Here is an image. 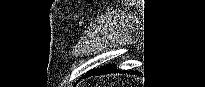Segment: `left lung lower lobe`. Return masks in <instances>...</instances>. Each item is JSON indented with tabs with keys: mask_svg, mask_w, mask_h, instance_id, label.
<instances>
[{
	"mask_svg": "<svg viewBox=\"0 0 205 87\" xmlns=\"http://www.w3.org/2000/svg\"><path fill=\"white\" fill-rule=\"evenodd\" d=\"M116 68L115 65H107L101 68H98L97 70H92L88 73H86L83 78H86L88 76H92V75H102V74H106V73H111V72H116ZM119 71V70H118Z\"/></svg>",
	"mask_w": 205,
	"mask_h": 87,
	"instance_id": "0a47b994",
	"label": "left lung lower lobe"
}]
</instances>
